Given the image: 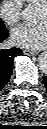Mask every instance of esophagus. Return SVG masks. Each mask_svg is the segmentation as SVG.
<instances>
[{
    "label": "esophagus",
    "instance_id": "1",
    "mask_svg": "<svg viewBox=\"0 0 47 129\" xmlns=\"http://www.w3.org/2000/svg\"><path fill=\"white\" fill-rule=\"evenodd\" d=\"M23 53L26 55H36L37 54V52L31 51V50H23Z\"/></svg>",
    "mask_w": 47,
    "mask_h": 129
}]
</instances>
